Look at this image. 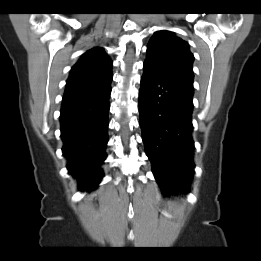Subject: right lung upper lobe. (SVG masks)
<instances>
[{
    "instance_id": "1",
    "label": "right lung upper lobe",
    "mask_w": 261,
    "mask_h": 261,
    "mask_svg": "<svg viewBox=\"0 0 261 261\" xmlns=\"http://www.w3.org/2000/svg\"><path fill=\"white\" fill-rule=\"evenodd\" d=\"M112 61L103 48L87 51L72 67L66 82L65 95L100 88L112 80Z\"/></svg>"
}]
</instances>
